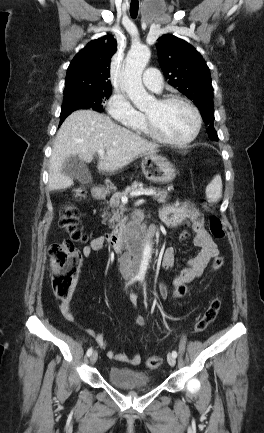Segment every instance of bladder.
<instances>
[{"label": "bladder", "mask_w": 264, "mask_h": 433, "mask_svg": "<svg viewBox=\"0 0 264 433\" xmlns=\"http://www.w3.org/2000/svg\"><path fill=\"white\" fill-rule=\"evenodd\" d=\"M108 380L114 386L128 390H149L153 387L150 375L138 370L111 367Z\"/></svg>", "instance_id": "31cf9c89"}]
</instances>
